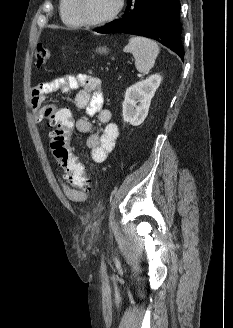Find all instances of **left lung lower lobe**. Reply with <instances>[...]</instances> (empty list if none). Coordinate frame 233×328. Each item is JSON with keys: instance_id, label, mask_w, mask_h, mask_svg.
<instances>
[{"instance_id": "1", "label": "left lung lower lobe", "mask_w": 233, "mask_h": 328, "mask_svg": "<svg viewBox=\"0 0 233 328\" xmlns=\"http://www.w3.org/2000/svg\"><path fill=\"white\" fill-rule=\"evenodd\" d=\"M120 20L98 28V33H126L150 37L184 57L180 35L179 0H127Z\"/></svg>"}]
</instances>
